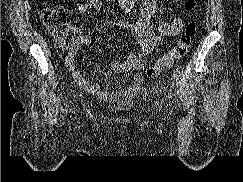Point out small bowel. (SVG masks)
<instances>
[{
  "mask_svg": "<svg viewBox=\"0 0 243 182\" xmlns=\"http://www.w3.org/2000/svg\"><path fill=\"white\" fill-rule=\"evenodd\" d=\"M173 1L180 2L181 0ZM100 7L101 0H85L78 5L77 10L80 14H88L94 10H98ZM161 11L162 8L157 0H145L139 12L138 19L135 22L130 23L125 20H117L115 22L116 27L128 29L134 33L139 51L128 52L122 60L113 61L105 67L99 63L95 65L98 70L103 72L119 74L133 73L131 84L125 90L120 92L109 91L97 82L88 81L77 68L73 57L66 59L65 65L77 85L82 90L97 96L103 101L114 102L121 97H133L137 95L144 81L141 71L146 66V57L151 54L154 48L162 43L165 38L178 35L183 26V20L181 18H174L172 20L160 22L157 30H154L150 24V19L154 14ZM89 42L90 39L87 36L81 35L77 39L76 47L79 49Z\"/></svg>",
  "mask_w": 243,
  "mask_h": 182,
  "instance_id": "obj_1",
  "label": "small bowel"
}]
</instances>
